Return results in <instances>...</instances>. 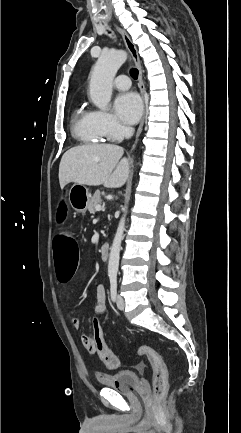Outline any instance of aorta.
I'll return each instance as SVG.
<instances>
[{"label": "aorta", "mask_w": 241, "mask_h": 433, "mask_svg": "<svg viewBox=\"0 0 241 433\" xmlns=\"http://www.w3.org/2000/svg\"><path fill=\"white\" fill-rule=\"evenodd\" d=\"M127 53L123 50L103 52L98 58L90 79L89 92L95 106L101 110H107L112 96V82L121 67L126 61ZM127 208L121 218L112 246L110 248L108 275L116 276L119 267L121 242L125 230V217Z\"/></svg>", "instance_id": "aorta-1"}]
</instances>
